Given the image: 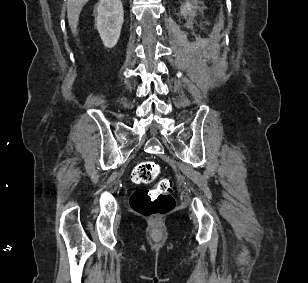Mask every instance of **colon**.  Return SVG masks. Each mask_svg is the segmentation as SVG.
Masks as SVG:
<instances>
[{"mask_svg": "<svg viewBox=\"0 0 308 283\" xmlns=\"http://www.w3.org/2000/svg\"><path fill=\"white\" fill-rule=\"evenodd\" d=\"M160 166L153 161H143L133 169L132 181L147 185L155 181L160 174ZM173 184L169 179L160 180L153 188L136 190L131 197L132 209L143 216H160L171 211L175 205L172 195Z\"/></svg>", "mask_w": 308, "mask_h": 283, "instance_id": "colon-1", "label": "colon"}]
</instances>
